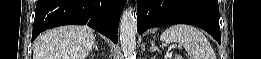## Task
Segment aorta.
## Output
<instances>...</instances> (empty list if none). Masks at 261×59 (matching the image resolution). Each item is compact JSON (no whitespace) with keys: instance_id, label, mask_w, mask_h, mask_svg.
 Here are the masks:
<instances>
[{"instance_id":"aorta-1","label":"aorta","mask_w":261,"mask_h":59,"mask_svg":"<svg viewBox=\"0 0 261 59\" xmlns=\"http://www.w3.org/2000/svg\"><path fill=\"white\" fill-rule=\"evenodd\" d=\"M137 15L131 6L123 12L120 21V43L126 59L136 58Z\"/></svg>"}]
</instances>
